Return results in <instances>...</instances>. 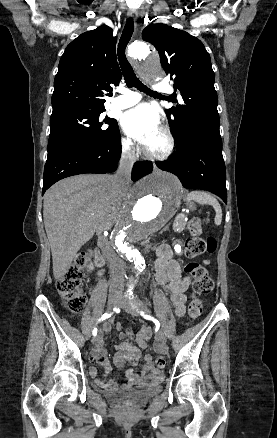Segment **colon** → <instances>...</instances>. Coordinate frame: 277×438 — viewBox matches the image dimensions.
<instances>
[{"label": "colon", "mask_w": 277, "mask_h": 438, "mask_svg": "<svg viewBox=\"0 0 277 438\" xmlns=\"http://www.w3.org/2000/svg\"><path fill=\"white\" fill-rule=\"evenodd\" d=\"M202 223L199 219H192L186 224V230L191 234L185 242V255L187 257H198L203 254H212L217 247V241L214 236H198ZM86 256L92 257L95 254L94 249L88 248L85 251ZM87 261L81 260L75 266L67 269L64 276L56 284L58 294L65 299L66 307L73 313L79 314L83 311L86 297L82 291L80 276L87 268ZM186 273L193 280L194 296L188 305L187 316L193 321L197 319L203 308V302L200 296L211 293L214 289V281L209 275L207 268L199 263H188L185 266ZM157 368H163L166 364L164 357L159 356L155 361Z\"/></svg>", "instance_id": "1"}]
</instances>
